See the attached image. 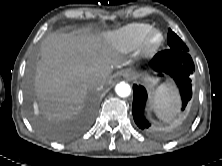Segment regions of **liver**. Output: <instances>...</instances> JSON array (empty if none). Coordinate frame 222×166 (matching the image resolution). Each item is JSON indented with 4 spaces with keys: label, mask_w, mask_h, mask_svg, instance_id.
Returning <instances> with one entry per match:
<instances>
[{
    "label": "liver",
    "mask_w": 222,
    "mask_h": 166,
    "mask_svg": "<svg viewBox=\"0 0 222 166\" xmlns=\"http://www.w3.org/2000/svg\"><path fill=\"white\" fill-rule=\"evenodd\" d=\"M127 65L101 37L86 32L50 34L41 45V59L37 62L35 90L42 112L50 120L71 119L82 108L88 91L103 86L114 68Z\"/></svg>",
    "instance_id": "6515ba94"
}]
</instances>
